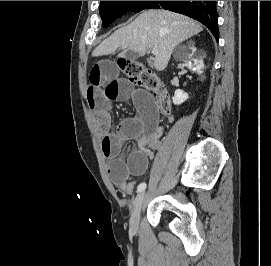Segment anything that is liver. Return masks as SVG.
<instances>
[{"mask_svg": "<svg viewBox=\"0 0 271 266\" xmlns=\"http://www.w3.org/2000/svg\"><path fill=\"white\" fill-rule=\"evenodd\" d=\"M202 26L184 15L168 10L143 11L131 24L115 31L92 53L94 57L114 54L118 48L128 49L144 56L148 49H158L154 67L163 71L174 48L198 34ZM119 56L124 57L125 52Z\"/></svg>", "mask_w": 271, "mask_h": 266, "instance_id": "liver-1", "label": "liver"}]
</instances>
